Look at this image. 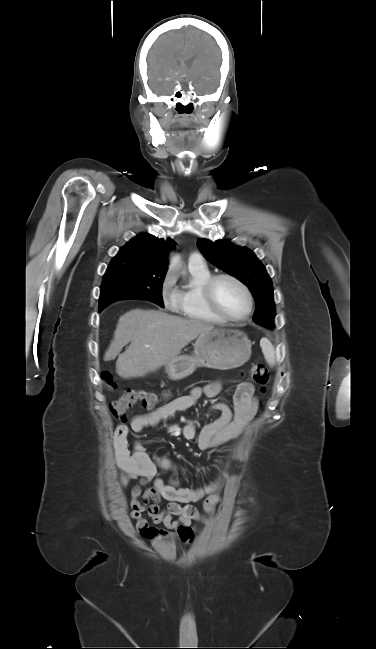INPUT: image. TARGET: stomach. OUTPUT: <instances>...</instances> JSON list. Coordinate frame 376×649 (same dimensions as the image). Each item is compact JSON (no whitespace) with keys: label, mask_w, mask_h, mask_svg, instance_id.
Listing matches in <instances>:
<instances>
[{"label":"stomach","mask_w":376,"mask_h":649,"mask_svg":"<svg viewBox=\"0 0 376 649\" xmlns=\"http://www.w3.org/2000/svg\"><path fill=\"white\" fill-rule=\"evenodd\" d=\"M194 354L180 355L165 364L172 380L190 376L197 367L227 370L246 363L251 356L250 340L238 330L213 329L200 333Z\"/></svg>","instance_id":"0dacf381"}]
</instances>
